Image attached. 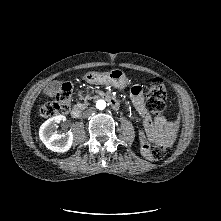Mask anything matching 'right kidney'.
Here are the masks:
<instances>
[{
  "label": "right kidney",
  "instance_id": "ca27d5eb",
  "mask_svg": "<svg viewBox=\"0 0 221 221\" xmlns=\"http://www.w3.org/2000/svg\"><path fill=\"white\" fill-rule=\"evenodd\" d=\"M66 117L58 115L45 121L39 129L40 140L45 146L54 152H66L73 143V133L68 131L66 133L58 134L56 126L60 122H64Z\"/></svg>",
  "mask_w": 221,
  "mask_h": 221
}]
</instances>
